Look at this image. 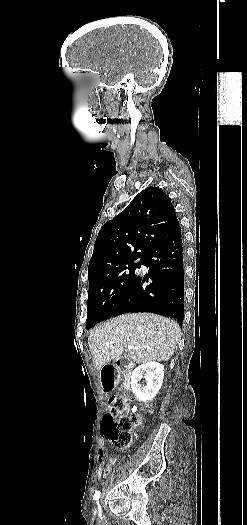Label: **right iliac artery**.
Instances as JSON below:
<instances>
[{
  "mask_svg": "<svg viewBox=\"0 0 247 525\" xmlns=\"http://www.w3.org/2000/svg\"><path fill=\"white\" fill-rule=\"evenodd\" d=\"M99 497H100V491H96L93 496V500L97 503L99 500Z\"/></svg>",
  "mask_w": 247,
  "mask_h": 525,
  "instance_id": "right-iliac-artery-1",
  "label": "right iliac artery"
}]
</instances>
